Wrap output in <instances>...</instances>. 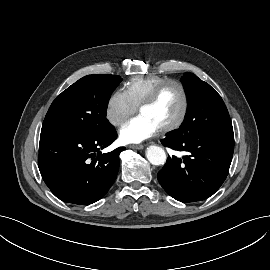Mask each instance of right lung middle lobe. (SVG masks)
I'll use <instances>...</instances> for the list:
<instances>
[{"label": "right lung middle lobe", "instance_id": "obj_1", "mask_svg": "<svg viewBox=\"0 0 270 270\" xmlns=\"http://www.w3.org/2000/svg\"><path fill=\"white\" fill-rule=\"evenodd\" d=\"M118 75H88L68 87L51 104L43 132L98 134L112 125L106 119L109 97L121 81Z\"/></svg>", "mask_w": 270, "mask_h": 270}]
</instances>
